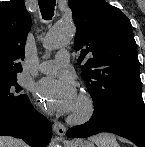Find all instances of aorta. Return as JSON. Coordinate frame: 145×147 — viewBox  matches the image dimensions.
<instances>
[{
    "label": "aorta",
    "mask_w": 145,
    "mask_h": 147,
    "mask_svg": "<svg viewBox=\"0 0 145 147\" xmlns=\"http://www.w3.org/2000/svg\"><path fill=\"white\" fill-rule=\"evenodd\" d=\"M75 32V26L71 21L58 22L46 34L44 47L47 50H54L66 45ZM49 147H61L56 141H51Z\"/></svg>",
    "instance_id": "obj_1"
}]
</instances>
